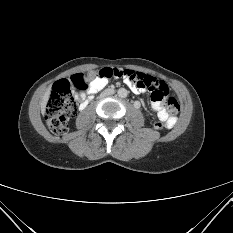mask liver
Returning a JSON list of instances; mask_svg holds the SVG:
<instances>
[{
  "instance_id": "obj_1",
  "label": "liver",
  "mask_w": 233,
  "mask_h": 233,
  "mask_svg": "<svg viewBox=\"0 0 233 233\" xmlns=\"http://www.w3.org/2000/svg\"><path fill=\"white\" fill-rule=\"evenodd\" d=\"M49 95H50V88H48V90L45 92L42 101H41V112L44 113L45 109H46V105L49 99Z\"/></svg>"
}]
</instances>
